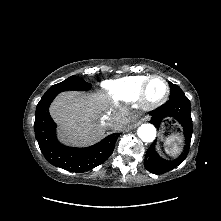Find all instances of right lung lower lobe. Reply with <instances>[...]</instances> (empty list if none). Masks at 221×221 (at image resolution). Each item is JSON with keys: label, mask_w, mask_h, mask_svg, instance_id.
Instances as JSON below:
<instances>
[{"label": "right lung lower lobe", "mask_w": 221, "mask_h": 221, "mask_svg": "<svg viewBox=\"0 0 221 221\" xmlns=\"http://www.w3.org/2000/svg\"><path fill=\"white\" fill-rule=\"evenodd\" d=\"M56 96H43L36 107L35 138L46 160L54 166L77 173L104 163L112 154L120 134H111L87 148H72L61 144L56 137V124L49 114V106Z\"/></svg>", "instance_id": "obj_1"}]
</instances>
